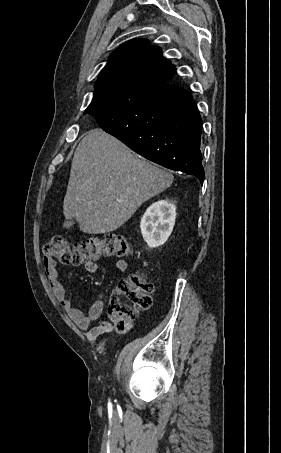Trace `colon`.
<instances>
[{
    "label": "colon",
    "mask_w": 281,
    "mask_h": 453,
    "mask_svg": "<svg viewBox=\"0 0 281 453\" xmlns=\"http://www.w3.org/2000/svg\"><path fill=\"white\" fill-rule=\"evenodd\" d=\"M136 249L125 239L82 238L74 244L62 235H53L45 248L44 258L49 262H95L102 257H132ZM153 283L143 277V271L119 281L121 301L112 306V313L119 318V328H130L133 313L146 311L152 301Z\"/></svg>",
    "instance_id": "5ec220e1"
}]
</instances>
